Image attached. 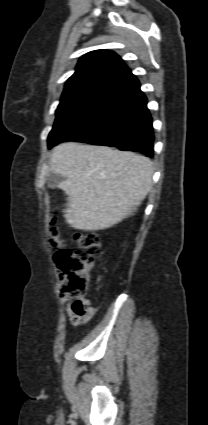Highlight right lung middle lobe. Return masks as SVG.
I'll use <instances>...</instances> for the list:
<instances>
[{
	"mask_svg": "<svg viewBox=\"0 0 208 425\" xmlns=\"http://www.w3.org/2000/svg\"><path fill=\"white\" fill-rule=\"evenodd\" d=\"M99 94H100L99 91H83V92L74 93L62 98L56 110V119H55L54 127L62 123V120L65 115L85 105L89 101L96 98ZM54 143H55V139L49 135L48 147L50 148Z\"/></svg>",
	"mask_w": 208,
	"mask_h": 425,
	"instance_id": "obj_1",
	"label": "right lung middle lobe"
}]
</instances>
